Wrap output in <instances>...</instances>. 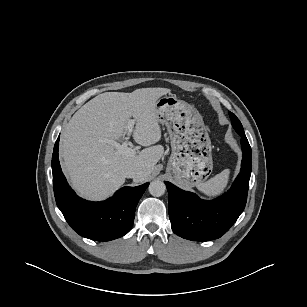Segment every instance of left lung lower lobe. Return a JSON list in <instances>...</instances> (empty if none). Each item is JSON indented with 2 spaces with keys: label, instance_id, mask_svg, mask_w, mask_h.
I'll list each match as a JSON object with an SVG mask.
<instances>
[{
  "label": "left lung lower lobe",
  "instance_id": "obj_1",
  "mask_svg": "<svg viewBox=\"0 0 307 307\" xmlns=\"http://www.w3.org/2000/svg\"><path fill=\"white\" fill-rule=\"evenodd\" d=\"M241 170L231 189L211 201L165 182L169 195V218L174 233L193 241L220 238L243 212L252 170V151L246 136H241Z\"/></svg>",
  "mask_w": 307,
  "mask_h": 307
}]
</instances>
